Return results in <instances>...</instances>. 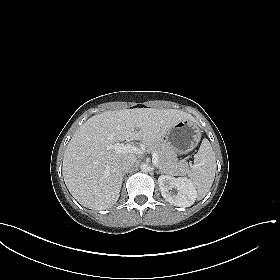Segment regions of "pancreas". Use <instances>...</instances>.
Segmentation results:
<instances>
[{
    "instance_id": "obj_1",
    "label": "pancreas",
    "mask_w": 280,
    "mask_h": 280,
    "mask_svg": "<svg viewBox=\"0 0 280 280\" xmlns=\"http://www.w3.org/2000/svg\"><path fill=\"white\" fill-rule=\"evenodd\" d=\"M149 151L157 152L158 167L166 174L185 175L188 172V163L184 160L178 161L174 150L165 141L159 139L146 143Z\"/></svg>"
}]
</instances>
